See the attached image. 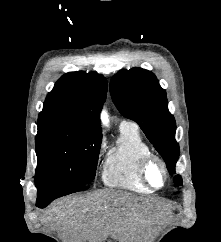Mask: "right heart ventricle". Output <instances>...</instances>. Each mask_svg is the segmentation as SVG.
Returning a JSON list of instances; mask_svg holds the SVG:
<instances>
[{"label": "right heart ventricle", "mask_w": 221, "mask_h": 242, "mask_svg": "<svg viewBox=\"0 0 221 242\" xmlns=\"http://www.w3.org/2000/svg\"><path fill=\"white\" fill-rule=\"evenodd\" d=\"M152 153L134 125L120 127V136L116 147L106 157L102 179L106 186L136 193H151L139 175L141 159Z\"/></svg>", "instance_id": "e07e8e85"}]
</instances>
